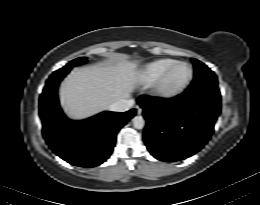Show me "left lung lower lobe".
Listing matches in <instances>:
<instances>
[{
    "label": "left lung lower lobe",
    "mask_w": 260,
    "mask_h": 205,
    "mask_svg": "<svg viewBox=\"0 0 260 205\" xmlns=\"http://www.w3.org/2000/svg\"><path fill=\"white\" fill-rule=\"evenodd\" d=\"M147 121L144 141L157 159L174 162L198 152L210 139L221 99L186 91L172 99L141 96L137 100Z\"/></svg>",
    "instance_id": "obj_1"
}]
</instances>
